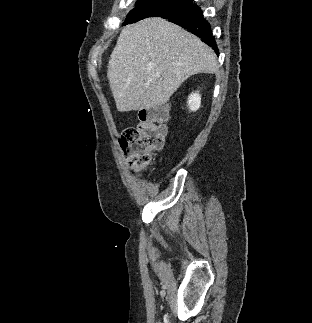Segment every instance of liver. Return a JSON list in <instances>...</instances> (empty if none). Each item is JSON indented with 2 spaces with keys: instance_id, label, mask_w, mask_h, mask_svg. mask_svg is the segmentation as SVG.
Returning <instances> with one entry per match:
<instances>
[{
  "instance_id": "obj_1",
  "label": "liver",
  "mask_w": 312,
  "mask_h": 323,
  "mask_svg": "<svg viewBox=\"0 0 312 323\" xmlns=\"http://www.w3.org/2000/svg\"><path fill=\"white\" fill-rule=\"evenodd\" d=\"M218 60L200 38L163 18L123 28L107 78L118 112L163 106L194 74H215Z\"/></svg>"
}]
</instances>
